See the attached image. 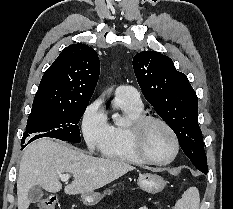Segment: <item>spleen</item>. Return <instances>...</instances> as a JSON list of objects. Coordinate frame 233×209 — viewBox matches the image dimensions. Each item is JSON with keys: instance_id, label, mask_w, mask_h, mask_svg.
Returning a JSON list of instances; mask_svg holds the SVG:
<instances>
[{"instance_id": "obj_1", "label": "spleen", "mask_w": 233, "mask_h": 209, "mask_svg": "<svg viewBox=\"0 0 233 209\" xmlns=\"http://www.w3.org/2000/svg\"><path fill=\"white\" fill-rule=\"evenodd\" d=\"M200 195L196 187L188 188L176 203V209H199Z\"/></svg>"}]
</instances>
